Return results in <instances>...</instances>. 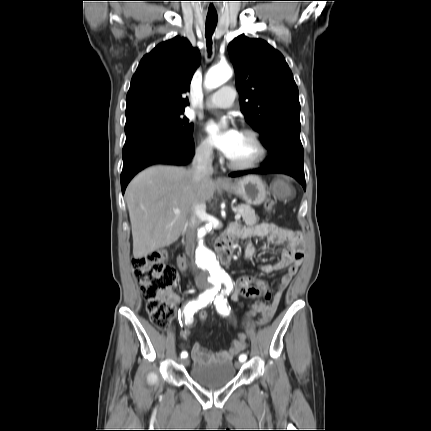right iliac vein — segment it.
<instances>
[{
	"mask_svg": "<svg viewBox=\"0 0 431 431\" xmlns=\"http://www.w3.org/2000/svg\"><path fill=\"white\" fill-rule=\"evenodd\" d=\"M182 364H183V365H187V364H188V360H187V359H184V360L182 361Z\"/></svg>",
	"mask_w": 431,
	"mask_h": 431,
	"instance_id": "obj_1",
	"label": "right iliac vein"
}]
</instances>
